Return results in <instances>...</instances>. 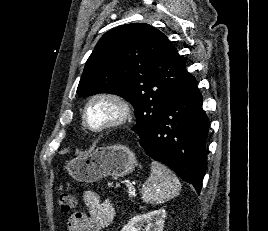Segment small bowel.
<instances>
[{
	"mask_svg": "<svg viewBox=\"0 0 268 231\" xmlns=\"http://www.w3.org/2000/svg\"><path fill=\"white\" fill-rule=\"evenodd\" d=\"M82 200L87 213H73L67 224L68 231H103L112 222L115 210L111 201L101 200L94 191H85Z\"/></svg>",
	"mask_w": 268,
	"mask_h": 231,
	"instance_id": "obj_1",
	"label": "small bowel"
}]
</instances>
